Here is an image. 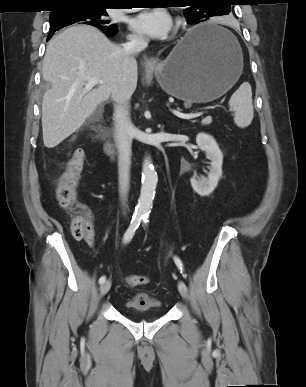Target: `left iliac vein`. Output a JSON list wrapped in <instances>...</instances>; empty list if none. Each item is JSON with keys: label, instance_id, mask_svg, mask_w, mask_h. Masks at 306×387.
<instances>
[{"label": "left iliac vein", "instance_id": "left-iliac-vein-1", "mask_svg": "<svg viewBox=\"0 0 306 387\" xmlns=\"http://www.w3.org/2000/svg\"><path fill=\"white\" fill-rule=\"evenodd\" d=\"M178 290L184 299L188 298V289H187L186 284L183 281L178 282Z\"/></svg>", "mask_w": 306, "mask_h": 387}]
</instances>
